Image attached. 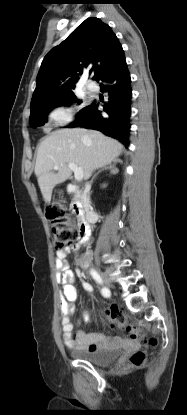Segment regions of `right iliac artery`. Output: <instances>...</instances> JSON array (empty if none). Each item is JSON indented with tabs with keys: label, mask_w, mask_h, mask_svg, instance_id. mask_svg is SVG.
I'll use <instances>...</instances> for the list:
<instances>
[{
	"label": "right iliac artery",
	"mask_w": 187,
	"mask_h": 415,
	"mask_svg": "<svg viewBox=\"0 0 187 415\" xmlns=\"http://www.w3.org/2000/svg\"><path fill=\"white\" fill-rule=\"evenodd\" d=\"M90 274L92 275V277L99 283L102 284V279L100 277V275L94 270L91 269ZM101 293L104 297H109L110 296V290L106 287H103L101 290Z\"/></svg>",
	"instance_id": "obj_1"
}]
</instances>
